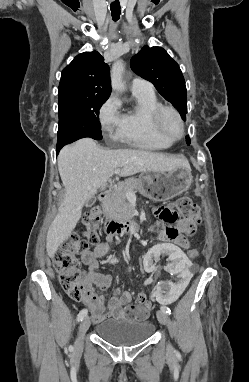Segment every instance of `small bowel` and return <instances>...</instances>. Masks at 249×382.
I'll list each match as a JSON object with an SVG mask.
<instances>
[{
  "label": "small bowel",
  "instance_id": "1",
  "mask_svg": "<svg viewBox=\"0 0 249 382\" xmlns=\"http://www.w3.org/2000/svg\"><path fill=\"white\" fill-rule=\"evenodd\" d=\"M163 209L164 207H156L154 209L158 218L169 224L162 233L163 237L174 241L175 245H180V250L188 248V237L196 232L199 219L181 216L173 211L170 212L169 217H165L162 214ZM115 240L116 236L107 232L103 242L99 243L94 249L86 250L82 253L81 261L87 266V271L83 273V281L86 284L87 290L82 302L88 306L95 321H101L106 317L146 321L151 309L150 302H147L145 305H129L132 299L131 293L125 291L120 294L119 289H116L114 295L109 300L108 310L106 311L104 297L93 292V286L105 290L111 284V276L97 273V269L99 268V259L108 253L111 244ZM142 260H144V257ZM150 282L151 280H148L146 283Z\"/></svg>",
  "mask_w": 249,
  "mask_h": 382
}]
</instances>
